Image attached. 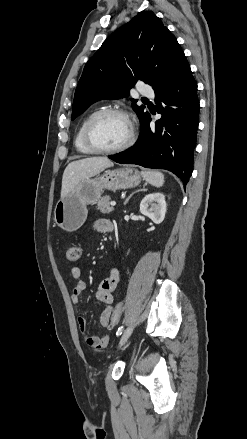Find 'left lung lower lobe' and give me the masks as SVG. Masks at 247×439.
I'll list each match as a JSON object with an SVG mask.
<instances>
[{
  "label": "left lung lower lobe",
  "instance_id": "1",
  "mask_svg": "<svg viewBox=\"0 0 247 439\" xmlns=\"http://www.w3.org/2000/svg\"><path fill=\"white\" fill-rule=\"evenodd\" d=\"M154 91L158 112L162 114L155 122V128L149 126L151 117L148 113L140 122L137 143L109 158L121 164L169 170L185 186L192 174L199 114L197 84L187 59Z\"/></svg>",
  "mask_w": 247,
  "mask_h": 439
}]
</instances>
